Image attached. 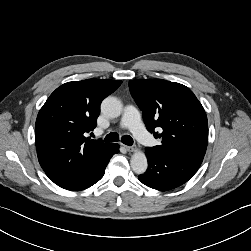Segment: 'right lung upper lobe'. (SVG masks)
<instances>
[{
  "instance_id": "right-lung-upper-lobe-1",
  "label": "right lung upper lobe",
  "mask_w": 251,
  "mask_h": 251,
  "mask_svg": "<svg viewBox=\"0 0 251 251\" xmlns=\"http://www.w3.org/2000/svg\"><path fill=\"white\" fill-rule=\"evenodd\" d=\"M120 80L88 79L58 87L40 109L35 125L38 160L44 171L69 172L101 155L111 144L90 140L102 100Z\"/></svg>"
}]
</instances>
